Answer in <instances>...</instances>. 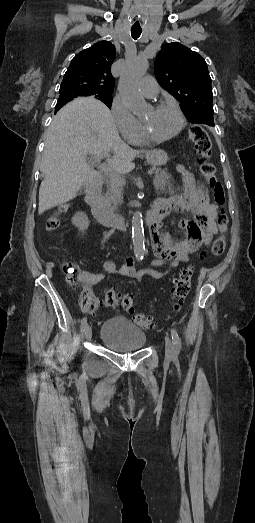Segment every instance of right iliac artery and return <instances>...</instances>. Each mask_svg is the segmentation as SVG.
<instances>
[{
	"mask_svg": "<svg viewBox=\"0 0 255 523\" xmlns=\"http://www.w3.org/2000/svg\"><path fill=\"white\" fill-rule=\"evenodd\" d=\"M87 326V318H83L82 322H81V330L84 331L85 328Z\"/></svg>",
	"mask_w": 255,
	"mask_h": 523,
	"instance_id": "82829eb1",
	"label": "right iliac artery"
}]
</instances>
